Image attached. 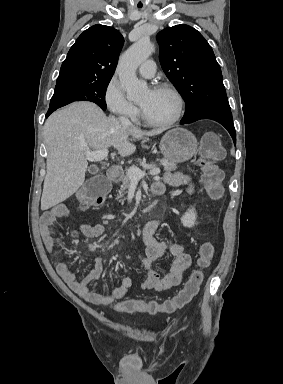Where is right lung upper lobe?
Instances as JSON below:
<instances>
[{"mask_svg":"<svg viewBox=\"0 0 283 384\" xmlns=\"http://www.w3.org/2000/svg\"><path fill=\"white\" fill-rule=\"evenodd\" d=\"M123 42L119 31L109 26L85 30L62 63L56 86L111 80Z\"/></svg>","mask_w":283,"mask_h":384,"instance_id":"obj_1","label":"right lung upper lobe"}]
</instances>
